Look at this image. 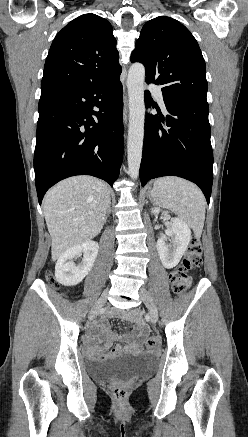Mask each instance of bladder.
<instances>
[{"label": "bladder", "mask_w": 248, "mask_h": 437, "mask_svg": "<svg viewBox=\"0 0 248 437\" xmlns=\"http://www.w3.org/2000/svg\"><path fill=\"white\" fill-rule=\"evenodd\" d=\"M156 361L151 353H140L90 363L89 375L100 381H127L150 371Z\"/></svg>", "instance_id": "bladder-1"}]
</instances>
